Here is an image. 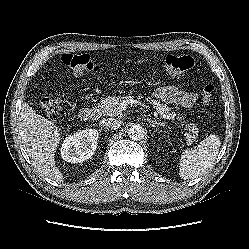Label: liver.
Masks as SVG:
<instances>
[{
    "label": "liver",
    "mask_w": 249,
    "mask_h": 249,
    "mask_svg": "<svg viewBox=\"0 0 249 249\" xmlns=\"http://www.w3.org/2000/svg\"><path fill=\"white\" fill-rule=\"evenodd\" d=\"M18 128L24 147L38 172L62 182V173L54 160L61 137L54 123L37 114L27 103H23Z\"/></svg>",
    "instance_id": "obj_1"
}]
</instances>
